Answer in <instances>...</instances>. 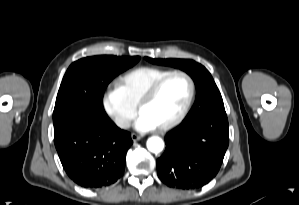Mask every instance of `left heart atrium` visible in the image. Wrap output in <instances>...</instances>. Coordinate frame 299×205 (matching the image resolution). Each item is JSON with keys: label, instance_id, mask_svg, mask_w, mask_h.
I'll list each match as a JSON object with an SVG mask.
<instances>
[{"label": "left heart atrium", "instance_id": "1", "mask_svg": "<svg viewBox=\"0 0 299 205\" xmlns=\"http://www.w3.org/2000/svg\"><path fill=\"white\" fill-rule=\"evenodd\" d=\"M134 127L140 132H147L157 128L156 124L149 117L142 113H140L136 119Z\"/></svg>", "mask_w": 299, "mask_h": 205}]
</instances>
